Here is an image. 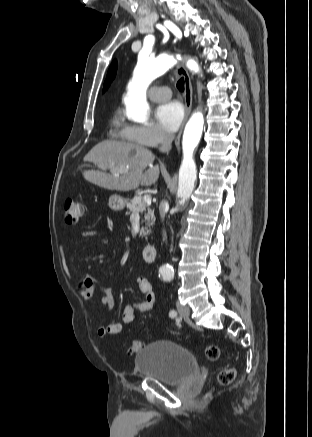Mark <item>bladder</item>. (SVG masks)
<instances>
[{
	"label": "bladder",
	"instance_id": "bladder-1",
	"mask_svg": "<svg viewBox=\"0 0 312 437\" xmlns=\"http://www.w3.org/2000/svg\"><path fill=\"white\" fill-rule=\"evenodd\" d=\"M138 373L165 384L179 385L196 375L200 365L187 348L168 340L147 344L135 356Z\"/></svg>",
	"mask_w": 312,
	"mask_h": 437
}]
</instances>
